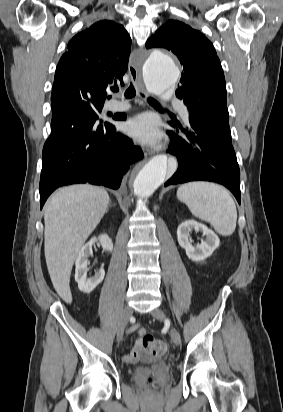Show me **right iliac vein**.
<instances>
[{
	"mask_svg": "<svg viewBox=\"0 0 283 412\" xmlns=\"http://www.w3.org/2000/svg\"><path fill=\"white\" fill-rule=\"evenodd\" d=\"M132 308L130 306H126L123 310L121 322L119 324L118 330H117V341L120 342L123 339L124 335V330L129 322V319L132 315Z\"/></svg>",
	"mask_w": 283,
	"mask_h": 412,
	"instance_id": "obj_1",
	"label": "right iliac vein"
}]
</instances>
